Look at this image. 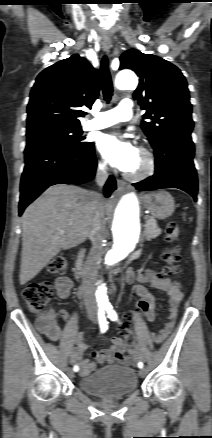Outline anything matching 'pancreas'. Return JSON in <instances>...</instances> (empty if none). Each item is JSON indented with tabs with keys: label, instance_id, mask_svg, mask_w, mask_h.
Masks as SVG:
<instances>
[{
	"label": "pancreas",
	"instance_id": "obj_1",
	"mask_svg": "<svg viewBox=\"0 0 212 438\" xmlns=\"http://www.w3.org/2000/svg\"><path fill=\"white\" fill-rule=\"evenodd\" d=\"M146 224L144 229V236L147 241L158 237L161 234V229L157 226V222L153 217H145Z\"/></svg>",
	"mask_w": 212,
	"mask_h": 438
}]
</instances>
